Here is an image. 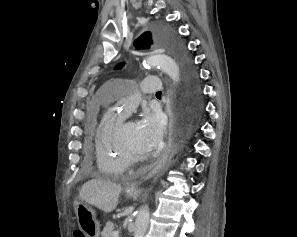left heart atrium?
Returning a JSON list of instances; mask_svg holds the SVG:
<instances>
[{
  "mask_svg": "<svg viewBox=\"0 0 297 237\" xmlns=\"http://www.w3.org/2000/svg\"><path fill=\"white\" fill-rule=\"evenodd\" d=\"M139 138L148 149L157 148L163 138L164 123L158 112L145 110L137 122Z\"/></svg>",
  "mask_w": 297,
  "mask_h": 237,
  "instance_id": "1",
  "label": "left heart atrium"
}]
</instances>
